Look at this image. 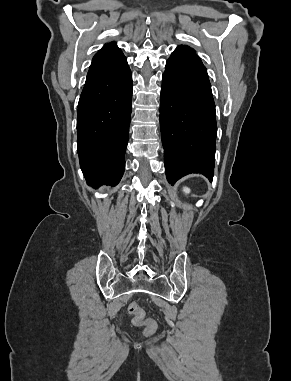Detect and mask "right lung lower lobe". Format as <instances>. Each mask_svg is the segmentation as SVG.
<instances>
[{
	"instance_id": "98d812e1",
	"label": "right lung lower lobe",
	"mask_w": 291,
	"mask_h": 381,
	"mask_svg": "<svg viewBox=\"0 0 291 381\" xmlns=\"http://www.w3.org/2000/svg\"><path fill=\"white\" fill-rule=\"evenodd\" d=\"M132 74L117 47L92 59L78 103L80 167L88 184L115 186L125 169L131 118Z\"/></svg>"
}]
</instances>
